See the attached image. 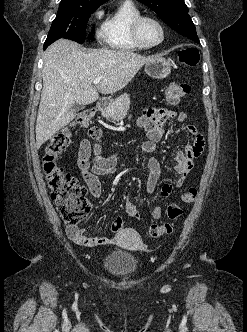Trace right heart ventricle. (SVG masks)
Listing matches in <instances>:
<instances>
[{
	"mask_svg": "<svg viewBox=\"0 0 247 332\" xmlns=\"http://www.w3.org/2000/svg\"><path fill=\"white\" fill-rule=\"evenodd\" d=\"M140 15L142 11L132 0H123L103 23L100 32L101 41L116 50H142L143 48L133 39L131 32L134 20Z\"/></svg>",
	"mask_w": 247,
	"mask_h": 332,
	"instance_id": "right-heart-ventricle-1",
	"label": "right heart ventricle"
}]
</instances>
